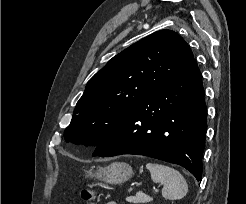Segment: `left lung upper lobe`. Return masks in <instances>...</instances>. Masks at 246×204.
<instances>
[{"instance_id":"1","label":"left lung upper lobe","mask_w":246,"mask_h":204,"mask_svg":"<svg viewBox=\"0 0 246 204\" xmlns=\"http://www.w3.org/2000/svg\"><path fill=\"white\" fill-rule=\"evenodd\" d=\"M192 59L187 43L171 30L157 31L126 48L87 83L64 131L66 141L96 147Z\"/></svg>"}]
</instances>
